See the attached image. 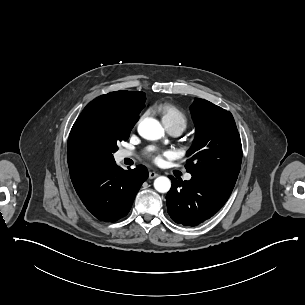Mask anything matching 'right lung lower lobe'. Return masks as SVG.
Wrapping results in <instances>:
<instances>
[{"mask_svg":"<svg viewBox=\"0 0 305 305\" xmlns=\"http://www.w3.org/2000/svg\"><path fill=\"white\" fill-rule=\"evenodd\" d=\"M148 171L138 165L124 171L115 162L71 178L86 208L99 220L115 222L126 216Z\"/></svg>","mask_w":305,"mask_h":305,"instance_id":"98d812e1","label":"right lung lower lobe"}]
</instances>
